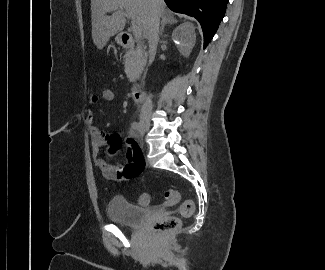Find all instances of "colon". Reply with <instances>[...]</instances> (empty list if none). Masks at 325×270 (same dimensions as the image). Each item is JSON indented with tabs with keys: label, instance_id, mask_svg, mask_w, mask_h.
<instances>
[{
	"label": "colon",
	"instance_id": "1",
	"mask_svg": "<svg viewBox=\"0 0 325 270\" xmlns=\"http://www.w3.org/2000/svg\"><path fill=\"white\" fill-rule=\"evenodd\" d=\"M102 100L111 103L116 100V92L112 87H106L102 90ZM180 200V195L176 190L170 189L165 193V204L167 206H173ZM138 201L141 205H147L150 201V197L147 193H142L138 197ZM194 211V203L192 200H184L179 206L180 216L183 218L190 217ZM181 218L177 216H168L157 222L154 226V232L157 234H163L172 232L180 228Z\"/></svg>",
	"mask_w": 325,
	"mask_h": 270
}]
</instances>
